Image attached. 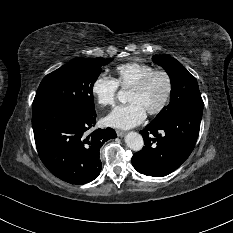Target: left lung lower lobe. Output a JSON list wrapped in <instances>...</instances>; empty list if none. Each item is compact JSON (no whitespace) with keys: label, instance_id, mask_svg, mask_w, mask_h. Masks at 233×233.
Returning a JSON list of instances; mask_svg holds the SVG:
<instances>
[{"label":"left lung lower lobe","instance_id":"0a47b994","mask_svg":"<svg viewBox=\"0 0 233 233\" xmlns=\"http://www.w3.org/2000/svg\"><path fill=\"white\" fill-rule=\"evenodd\" d=\"M203 102L194 103L158 124L141 131L145 146L132 156L140 173L161 177L175 171L194 149L202 118Z\"/></svg>","mask_w":233,"mask_h":233}]
</instances>
